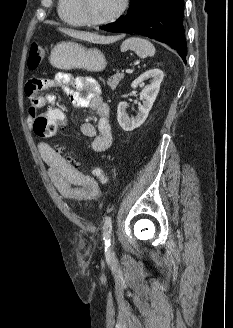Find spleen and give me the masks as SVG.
<instances>
[{
    "mask_svg": "<svg viewBox=\"0 0 233 328\" xmlns=\"http://www.w3.org/2000/svg\"><path fill=\"white\" fill-rule=\"evenodd\" d=\"M127 50L134 51L142 59L155 54L154 45L147 39L140 37H131L123 41L121 51L125 52Z\"/></svg>",
    "mask_w": 233,
    "mask_h": 328,
    "instance_id": "3e777b00",
    "label": "spleen"
}]
</instances>
